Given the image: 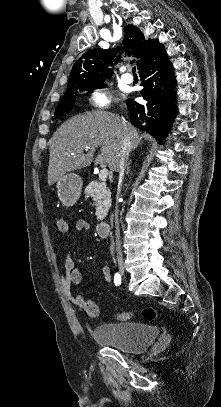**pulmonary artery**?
Returning <instances> with one entry per match:
<instances>
[{
    "instance_id": "obj_1",
    "label": "pulmonary artery",
    "mask_w": 221,
    "mask_h": 407,
    "mask_svg": "<svg viewBox=\"0 0 221 407\" xmlns=\"http://www.w3.org/2000/svg\"><path fill=\"white\" fill-rule=\"evenodd\" d=\"M121 80H122V82H124L126 84H129V83H131L133 81V78H132V76L130 74L125 73V74H123L121 76Z\"/></svg>"
}]
</instances>
